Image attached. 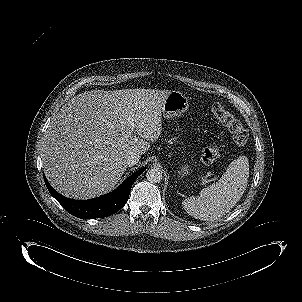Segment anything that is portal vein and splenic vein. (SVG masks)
I'll list each match as a JSON object with an SVG mask.
<instances>
[{"instance_id":"obj_1","label":"portal vein and splenic vein","mask_w":302,"mask_h":302,"mask_svg":"<svg viewBox=\"0 0 302 302\" xmlns=\"http://www.w3.org/2000/svg\"><path fill=\"white\" fill-rule=\"evenodd\" d=\"M131 123H132V124H134V123H133V121H131ZM205 178H206V177H205ZM202 179L204 180V178H203V177H202Z\"/></svg>"}]
</instances>
